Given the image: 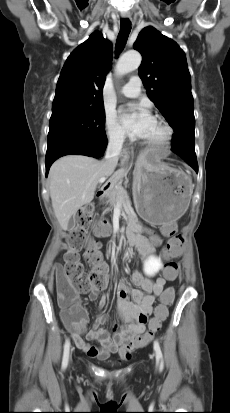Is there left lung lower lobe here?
Returning <instances> with one entry per match:
<instances>
[{
	"mask_svg": "<svg viewBox=\"0 0 230 413\" xmlns=\"http://www.w3.org/2000/svg\"><path fill=\"white\" fill-rule=\"evenodd\" d=\"M182 158L188 163V165H190L198 173V163H197L196 154L195 156L190 155V156H184Z\"/></svg>",
	"mask_w": 230,
	"mask_h": 413,
	"instance_id": "0a47b994",
	"label": "left lung lower lobe"
}]
</instances>
